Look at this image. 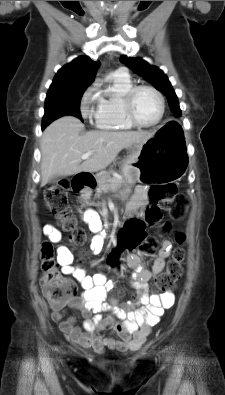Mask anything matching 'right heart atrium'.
<instances>
[{"label":"right heart atrium","instance_id":"d8ad5b80","mask_svg":"<svg viewBox=\"0 0 225 395\" xmlns=\"http://www.w3.org/2000/svg\"><path fill=\"white\" fill-rule=\"evenodd\" d=\"M95 100L93 89H89L83 96L81 102V113L86 119L95 117V112L91 109L90 104Z\"/></svg>","mask_w":225,"mask_h":395}]
</instances>
